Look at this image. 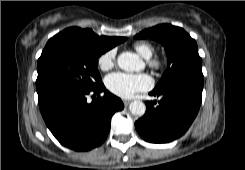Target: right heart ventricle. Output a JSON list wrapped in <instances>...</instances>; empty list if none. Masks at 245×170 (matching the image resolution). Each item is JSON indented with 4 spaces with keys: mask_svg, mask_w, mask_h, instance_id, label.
Segmentation results:
<instances>
[{
    "mask_svg": "<svg viewBox=\"0 0 245 170\" xmlns=\"http://www.w3.org/2000/svg\"><path fill=\"white\" fill-rule=\"evenodd\" d=\"M133 47L145 59H150L155 53L154 46L146 41L136 42Z\"/></svg>",
    "mask_w": 245,
    "mask_h": 170,
    "instance_id": "obj_1",
    "label": "right heart ventricle"
}]
</instances>
